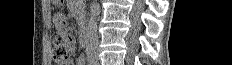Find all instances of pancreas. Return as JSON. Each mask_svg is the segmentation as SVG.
Here are the masks:
<instances>
[{"instance_id": "1", "label": "pancreas", "mask_w": 232, "mask_h": 65, "mask_svg": "<svg viewBox=\"0 0 232 65\" xmlns=\"http://www.w3.org/2000/svg\"><path fill=\"white\" fill-rule=\"evenodd\" d=\"M74 10H75V12L80 13V11H79V10H77L76 8H74Z\"/></svg>"}]
</instances>
